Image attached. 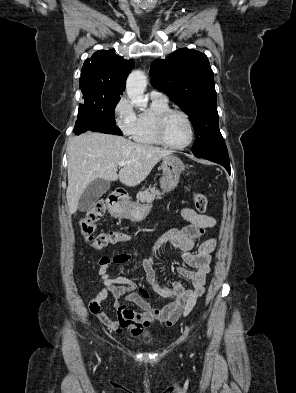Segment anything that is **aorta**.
Listing matches in <instances>:
<instances>
[{
  "label": "aorta",
  "instance_id": "1",
  "mask_svg": "<svg viewBox=\"0 0 296 393\" xmlns=\"http://www.w3.org/2000/svg\"><path fill=\"white\" fill-rule=\"evenodd\" d=\"M147 86V77L141 70L132 71L126 82V92L133 104L145 107L144 92Z\"/></svg>",
  "mask_w": 296,
  "mask_h": 393
}]
</instances>
